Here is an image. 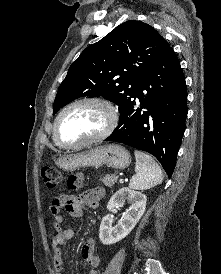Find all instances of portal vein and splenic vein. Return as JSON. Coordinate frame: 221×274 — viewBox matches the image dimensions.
<instances>
[{
	"label": "portal vein and splenic vein",
	"instance_id": "obj_1",
	"mask_svg": "<svg viewBox=\"0 0 221 274\" xmlns=\"http://www.w3.org/2000/svg\"><path fill=\"white\" fill-rule=\"evenodd\" d=\"M120 182H123V179H120Z\"/></svg>",
	"mask_w": 221,
	"mask_h": 274
}]
</instances>
